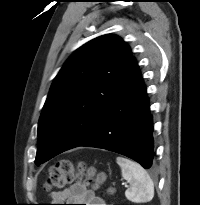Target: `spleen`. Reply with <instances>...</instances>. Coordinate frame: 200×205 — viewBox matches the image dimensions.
<instances>
[{
    "label": "spleen",
    "instance_id": "3e777b00",
    "mask_svg": "<svg viewBox=\"0 0 200 205\" xmlns=\"http://www.w3.org/2000/svg\"><path fill=\"white\" fill-rule=\"evenodd\" d=\"M116 162L121 168L122 177L130 184L125 191L126 198L134 203L151 201L154 184L146 170L140 164L121 156L116 158Z\"/></svg>",
    "mask_w": 200,
    "mask_h": 205
}]
</instances>
